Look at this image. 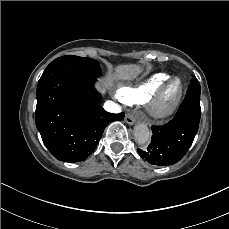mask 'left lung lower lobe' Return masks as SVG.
Instances as JSON below:
<instances>
[{
  "mask_svg": "<svg viewBox=\"0 0 229 229\" xmlns=\"http://www.w3.org/2000/svg\"><path fill=\"white\" fill-rule=\"evenodd\" d=\"M201 115L200 84L192 76L185 99L174 118L164 126H152V141L141 158L157 166L172 165L186 154L198 131Z\"/></svg>",
  "mask_w": 229,
  "mask_h": 229,
  "instance_id": "obj_1",
  "label": "left lung lower lobe"
}]
</instances>
